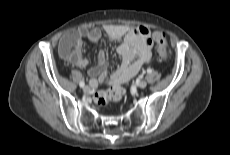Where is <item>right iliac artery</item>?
<instances>
[{
    "label": "right iliac artery",
    "instance_id": "obj_1",
    "mask_svg": "<svg viewBox=\"0 0 230 155\" xmlns=\"http://www.w3.org/2000/svg\"><path fill=\"white\" fill-rule=\"evenodd\" d=\"M84 85H85V83H84L83 81H81V82L79 83V86L82 87V88L84 87Z\"/></svg>",
    "mask_w": 230,
    "mask_h": 155
}]
</instances>
